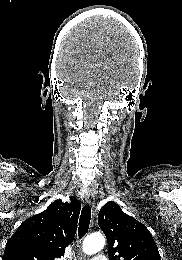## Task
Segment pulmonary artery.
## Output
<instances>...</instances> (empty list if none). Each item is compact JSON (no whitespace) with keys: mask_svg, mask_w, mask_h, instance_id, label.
<instances>
[{"mask_svg":"<svg viewBox=\"0 0 182 260\" xmlns=\"http://www.w3.org/2000/svg\"><path fill=\"white\" fill-rule=\"evenodd\" d=\"M89 260H107V258L102 254H98V255H96L95 257H93L92 259H89Z\"/></svg>","mask_w":182,"mask_h":260,"instance_id":"1","label":"pulmonary artery"}]
</instances>
